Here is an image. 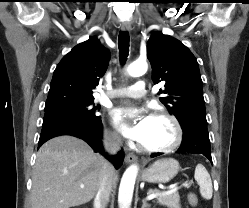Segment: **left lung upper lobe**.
<instances>
[{
  "instance_id": "obj_1",
  "label": "left lung upper lobe",
  "mask_w": 249,
  "mask_h": 208,
  "mask_svg": "<svg viewBox=\"0 0 249 208\" xmlns=\"http://www.w3.org/2000/svg\"><path fill=\"white\" fill-rule=\"evenodd\" d=\"M147 58L155 84L164 81L166 94L160 101L179 121L182 129L190 123L207 124L199 65L192 52L179 40L154 32L147 43Z\"/></svg>"
}]
</instances>
